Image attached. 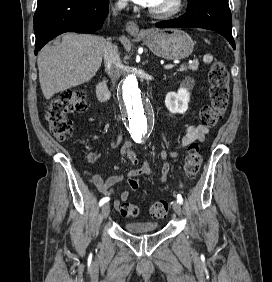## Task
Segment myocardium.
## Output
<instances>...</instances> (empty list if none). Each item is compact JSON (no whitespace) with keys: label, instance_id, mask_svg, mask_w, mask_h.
<instances>
[{"label":"myocardium","instance_id":"f54148a6","mask_svg":"<svg viewBox=\"0 0 272 282\" xmlns=\"http://www.w3.org/2000/svg\"><path fill=\"white\" fill-rule=\"evenodd\" d=\"M184 7H185V0H177L176 6L172 10L156 11L149 8V13L155 17L167 19L179 15L183 11Z\"/></svg>","mask_w":272,"mask_h":282}]
</instances>
